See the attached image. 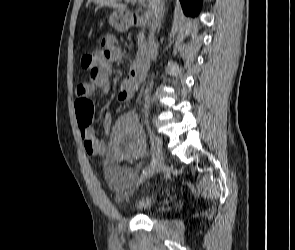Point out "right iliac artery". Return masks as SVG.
<instances>
[{
    "label": "right iliac artery",
    "instance_id": "82829eb1",
    "mask_svg": "<svg viewBox=\"0 0 295 250\" xmlns=\"http://www.w3.org/2000/svg\"><path fill=\"white\" fill-rule=\"evenodd\" d=\"M155 158L152 156L150 164L143 170V174H147L155 165Z\"/></svg>",
    "mask_w": 295,
    "mask_h": 250
}]
</instances>
